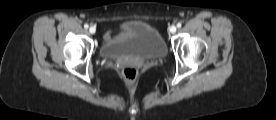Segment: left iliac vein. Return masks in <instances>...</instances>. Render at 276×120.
Returning a JSON list of instances; mask_svg holds the SVG:
<instances>
[{
    "mask_svg": "<svg viewBox=\"0 0 276 120\" xmlns=\"http://www.w3.org/2000/svg\"><path fill=\"white\" fill-rule=\"evenodd\" d=\"M169 31H170L171 33H175V32H176V27H175L174 25H172V26L170 27Z\"/></svg>",
    "mask_w": 276,
    "mask_h": 120,
    "instance_id": "obj_1",
    "label": "left iliac vein"
}]
</instances>
